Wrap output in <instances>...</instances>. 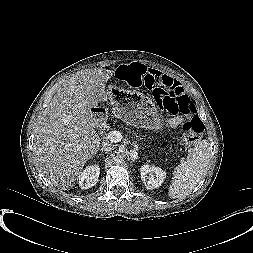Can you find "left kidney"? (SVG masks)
Masks as SVG:
<instances>
[{"label": "left kidney", "instance_id": "1", "mask_svg": "<svg viewBox=\"0 0 253 253\" xmlns=\"http://www.w3.org/2000/svg\"><path fill=\"white\" fill-rule=\"evenodd\" d=\"M141 180L147 189L153 190L163 183L166 173L160 167L143 165L140 169Z\"/></svg>", "mask_w": 253, "mask_h": 253}]
</instances>
